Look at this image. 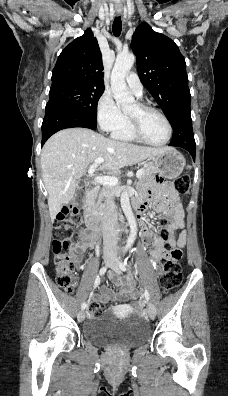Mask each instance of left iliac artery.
Returning a JSON list of instances; mask_svg holds the SVG:
<instances>
[{
	"label": "left iliac artery",
	"mask_w": 228,
	"mask_h": 396,
	"mask_svg": "<svg viewBox=\"0 0 228 396\" xmlns=\"http://www.w3.org/2000/svg\"><path fill=\"white\" fill-rule=\"evenodd\" d=\"M120 268H121V270L126 271V261H124V262L122 261L120 263ZM144 296H145L146 300L149 301L150 297H149V293L147 290L144 291Z\"/></svg>",
	"instance_id": "obj_1"
}]
</instances>
